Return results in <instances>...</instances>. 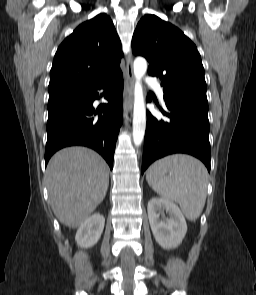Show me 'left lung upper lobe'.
<instances>
[{
    "instance_id": "1",
    "label": "left lung upper lobe",
    "mask_w": 256,
    "mask_h": 295,
    "mask_svg": "<svg viewBox=\"0 0 256 295\" xmlns=\"http://www.w3.org/2000/svg\"><path fill=\"white\" fill-rule=\"evenodd\" d=\"M132 50L148 60V74L162 81L166 102L208 108L200 54L181 30L155 15H145L134 32Z\"/></svg>"
}]
</instances>
